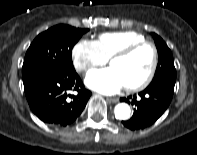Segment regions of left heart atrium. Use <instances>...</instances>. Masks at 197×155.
<instances>
[{"mask_svg":"<svg viewBox=\"0 0 197 155\" xmlns=\"http://www.w3.org/2000/svg\"><path fill=\"white\" fill-rule=\"evenodd\" d=\"M85 82L89 88L104 94H114L125 86L121 76L113 67L91 71Z\"/></svg>","mask_w":197,"mask_h":155,"instance_id":"left-heart-atrium-1","label":"left heart atrium"}]
</instances>
